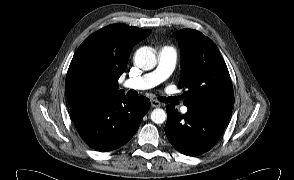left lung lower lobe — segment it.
<instances>
[{
  "instance_id": "left-lung-lower-lobe-1",
  "label": "left lung lower lobe",
  "mask_w": 294,
  "mask_h": 180,
  "mask_svg": "<svg viewBox=\"0 0 294 180\" xmlns=\"http://www.w3.org/2000/svg\"><path fill=\"white\" fill-rule=\"evenodd\" d=\"M181 115L174 106L168 105L165 134L179 152L196 156L209 151L221 137L232 108L205 105H186Z\"/></svg>"
}]
</instances>
